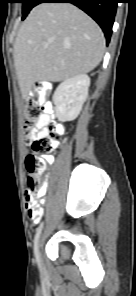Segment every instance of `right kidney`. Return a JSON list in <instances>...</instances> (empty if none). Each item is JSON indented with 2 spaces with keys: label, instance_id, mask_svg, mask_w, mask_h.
<instances>
[{
  "label": "right kidney",
  "instance_id": "right-kidney-1",
  "mask_svg": "<svg viewBox=\"0 0 136 296\" xmlns=\"http://www.w3.org/2000/svg\"><path fill=\"white\" fill-rule=\"evenodd\" d=\"M90 77L79 74L64 80L53 95L55 113L59 121H72L80 113L88 96Z\"/></svg>",
  "mask_w": 136,
  "mask_h": 296
}]
</instances>
